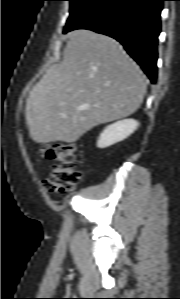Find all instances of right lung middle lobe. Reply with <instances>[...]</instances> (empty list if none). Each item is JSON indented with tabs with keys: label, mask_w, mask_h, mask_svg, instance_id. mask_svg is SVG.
I'll return each mask as SVG.
<instances>
[{
	"label": "right lung middle lobe",
	"mask_w": 180,
	"mask_h": 299,
	"mask_svg": "<svg viewBox=\"0 0 180 299\" xmlns=\"http://www.w3.org/2000/svg\"><path fill=\"white\" fill-rule=\"evenodd\" d=\"M70 1V15L65 28L71 26L75 21L84 16L95 6L104 0H68Z\"/></svg>",
	"instance_id": "right-lung-middle-lobe-1"
}]
</instances>
